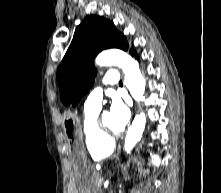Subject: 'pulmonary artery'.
Returning <instances> with one entry per match:
<instances>
[{"instance_id":"e3ab8cb5","label":"pulmonary artery","mask_w":221,"mask_h":193,"mask_svg":"<svg viewBox=\"0 0 221 193\" xmlns=\"http://www.w3.org/2000/svg\"><path fill=\"white\" fill-rule=\"evenodd\" d=\"M103 82L107 85H117L119 82V73L112 69L106 72ZM103 98V90L101 87L95 88L87 97L84 103V110L86 112L99 111Z\"/></svg>"}]
</instances>
